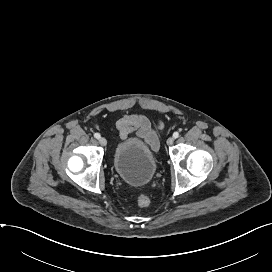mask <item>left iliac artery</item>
<instances>
[{
	"label": "left iliac artery",
	"instance_id": "44dca946",
	"mask_svg": "<svg viewBox=\"0 0 272 272\" xmlns=\"http://www.w3.org/2000/svg\"><path fill=\"white\" fill-rule=\"evenodd\" d=\"M173 137L176 139V138H178L179 137V133L176 131V132H174L173 133Z\"/></svg>",
	"mask_w": 272,
	"mask_h": 272
}]
</instances>
